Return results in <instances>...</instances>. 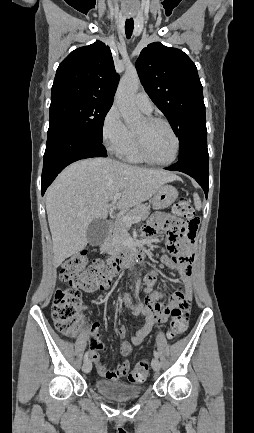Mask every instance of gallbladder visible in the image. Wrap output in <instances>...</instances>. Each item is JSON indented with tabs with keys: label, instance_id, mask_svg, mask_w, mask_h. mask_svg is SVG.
<instances>
[{
	"label": "gallbladder",
	"instance_id": "gallbladder-1",
	"mask_svg": "<svg viewBox=\"0 0 254 433\" xmlns=\"http://www.w3.org/2000/svg\"><path fill=\"white\" fill-rule=\"evenodd\" d=\"M109 232V224L106 220L97 218L94 219L88 226L86 236L88 243L91 246L101 244L107 237Z\"/></svg>",
	"mask_w": 254,
	"mask_h": 433
}]
</instances>
